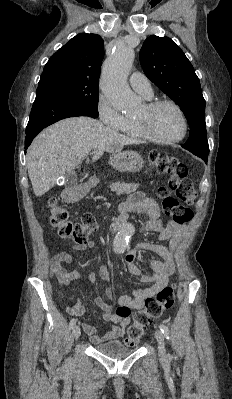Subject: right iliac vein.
Returning <instances> with one entry per match:
<instances>
[{
  "label": "right iliac vein",
  "instance_id": "63e3f726",
  "mask_svg": "<svg viewBox=\"0 0 232 399\" xmlns=\"http://www.w3.org/2000/svg\"><path fill=\"white\" fill-rule=\"evenodd\" d=\"M74 333L72 335V338L74 341H77L79 336L81 335V330L79 326H74L73 327Z\"/></svg>",
  "mask_w": 232,
  "mask_h": 399
}]
</instances>
